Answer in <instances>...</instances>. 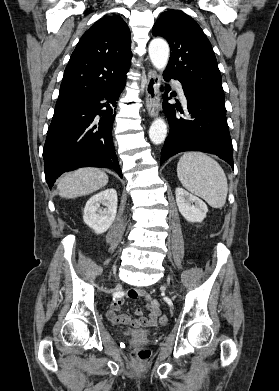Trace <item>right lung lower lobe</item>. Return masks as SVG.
Segmentation results:
<instances>
[{
	"instance_id": "1",
	"label": "right lung lower lobe",
	"mask_w": 279,
	"mask_h": 391,
	"mask_svg": "<svg viewBox=\"0 0 279 391\" xmlns=\"http://www.w3.org/2000/svg\"><path fill=\"white\" fill-rule=\"evenodd\" d=\"M124 86L125 82L94 95L56 103L43 148L50 188L62 173L82 166L111 168L122 177L112 124Z\"/></svg>"
}]
</instances>
